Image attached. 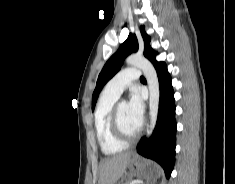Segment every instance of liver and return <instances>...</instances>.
Wrapping results in <instances>:
<instances>
[{"label":"liver","instance_id":"liver-1","mask_svg":"<svg viewBox=\"0 0 235 184\" xmlns=\"http://www.w3.org/2000/svg\"><path fill=\"white\" fill-rule=\"evenodd\" d=\"M131 156L132 152H126L112 158H103L99 166L98 184H115L125 174Z\"/></svg>","mask_w":235,"mask_h":184}]
</instances>
